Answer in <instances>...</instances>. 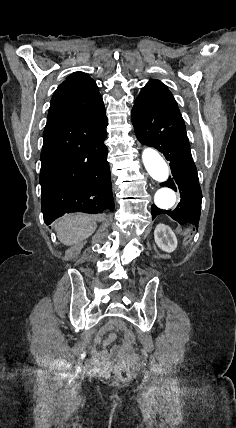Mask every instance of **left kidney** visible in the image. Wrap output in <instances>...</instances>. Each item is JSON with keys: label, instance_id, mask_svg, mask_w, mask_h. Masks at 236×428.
Masks as SVG:
<instances>
[{"label": "left kidney", "instance_id": "5707ae66", "mask_svg": "<svg viewBox=\"0 0 236 428\" xmlns=\"http://www.w3.org/2000/svg\"><path fill=\"white\" fill-rule=\"evenodd\" d=\"M154 238L158 248L164 252H174L177 248V238L169 226L158 224L154 230Z\"/></svg>", "mask_w": 236, "mask_h": 428}]
</instances>
